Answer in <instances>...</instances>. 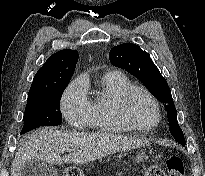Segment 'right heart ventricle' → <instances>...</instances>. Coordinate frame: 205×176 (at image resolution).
Masks as SVG:
<instances>
[{
	"label": "right heart ventricle",
	"mask_w": 205,
	"mask_h": 176,
	"mask_svg": "<svg viewBox=\"0 0 205 176\" xmlns=\"http://www.w3.org/2000/svg\"><path fill=\"white\" fill-rule=\"evenodd\" d=\"M131 86L129 78L121 72H107L102 76L101 89L90 101L89 124L95 132L111 135L130 130L118 114V99Z\"/></svg>",
	"instance_id": "e07e8e85"
}]
</instances>
